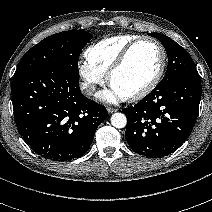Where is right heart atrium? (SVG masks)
I'll list each match as a JSON object with an SVG mask.
<instances>
[{"label": "right heart atrium", "instance_id": "d8ad5b80", "mask_svg": "<svg viewBox=\"0 0 212 212\" xmlns=\"http://www.w3.org/2000/svg\"><path fill=\"white\" fill-rule=\"evenodd\" d=\"M78 74L81 78V86L87 95H91L98 85L105 81V74L94 67L87 60H80L77 65Z\"/></svg>", "mask_w": 212, "mask_h": 212}]
</instances>
